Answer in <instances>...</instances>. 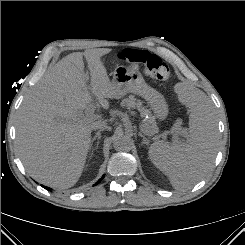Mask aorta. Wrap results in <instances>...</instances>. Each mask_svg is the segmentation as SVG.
I'll return each mask as SVG.
<instances>
[{
    "mask_svg": "<svg viewBox=\"0 0 245 245\" xmlns=\"http://www.w3.org/2000/svg\"><path fill=\"white\" fill-rule=\"evenodd\" d=\"M132 142L128 136L119 135L113 142V147L117 151L128 152L131 150Z\"/></svg>",
    "mask_w": 245,
    "mask_h": 245,
    "instance_id": "aorta-1",
    "label": "aorta"
}]
</instances>
